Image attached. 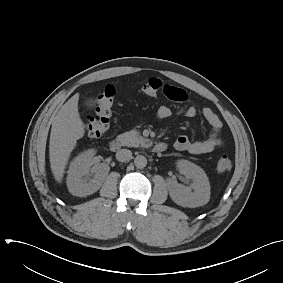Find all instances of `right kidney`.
Here are the masks:
<instances>
[{"mask_svg": "<svg viewBox=\"0 0 283 283\" xmlns=\"http://www.w3.org/2000/svg\"><path fill=\"white\" fill-rule=\"evenodd\" d=\"M96 151L88 149L80 153L70 163L67 186L69 192L78 197H85L95 193L102 185L108 174L109 166L94 164L93 156Z\"/></svg>", "mask_w": 283, "mask_h": 283, "instance_id": "ca27d5eb", "label": "right kidney"}]
</instances>
